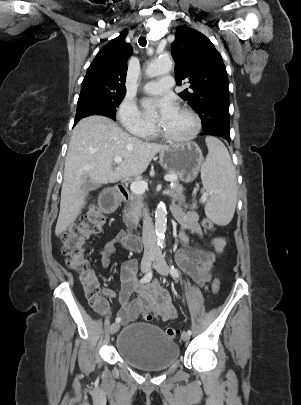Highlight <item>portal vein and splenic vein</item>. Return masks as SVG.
<instances>
[{
    "mask_svg": "<svg viewBox=\"0 0 301 405\" xmlns=\"http://www.w3.org/2000/svg\"><path fill=\"white\" fill-rule=\"evenodd\" d=\"M114 162L116 164L121 163L122 162V157L121 156H115L114 157ZM164 179L166 181L173 182V181L177 180V176L176 175H166L164 177ZM130 189H131V191L133 193L141 194V193H144L148 189V183L146 181H134V182L131 183ZM206 199H207V193L204 192L202 197H201V201L205 202Z\"/></svg>",
    "mask_w": 301,
    "mask_h": 405,
    "instance_id": "1",
    "label": "portal vein and splenic vein"
}]
</instances>
